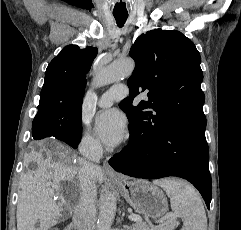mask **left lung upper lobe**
<instances>
[{"mask_svg":"<svg viewBox=\"0 0 241 230\" xmlns=\"http://www.w3.org/2000/svg\"><path fill=\"white\" fill-rule=\"evenodd\" d=\"M129 55L135 60L127 81L130 97L119 104L129 122L150 137L169 127L205 131L203 72L194 43L179 31L156 29L141 35ZM140 92L149 100L134 107Z\"/></svg>","mask_w":241,"mask_h":230,"instance_id":"obj_1","label":"left lung upper lobe"}]
</instances>
